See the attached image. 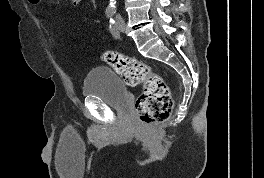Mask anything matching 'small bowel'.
I'll return each mask as SVG.
<instances>
[{"label": "small bowel", "instance_id": "c3829d8e", "mask_svg": "<svg viewBox=\"0 0 264 178\" xmlns=\"http://www.w3.org/2000/svg\"><path fill=\"white\" fill-rule=\"evenodd\" d=\"M83 0H68V2L73 6V7H78ZM30 3L32 4H38V2H32L31 0H29Z\"/></svg>", "mask_w": 264, "mask_h": 178}]
</instances>
